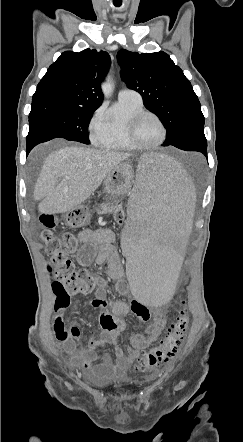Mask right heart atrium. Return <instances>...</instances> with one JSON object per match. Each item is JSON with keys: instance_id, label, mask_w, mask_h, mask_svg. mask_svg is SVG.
<instances>
[{"instance_id": "d8ad5b80", "label": "right heart atrium", "mask_w": 243, "mask_h": 442, "mask_svg": "<svg viewBox=\"0 0 243 442\" xmlns=\"http://www.w3.org/2000/svg\"><path fill=\"white\" fill-rule=\"evenodd\" d=\"M104 112L102 108H97L88 123V130L90 133V137L93 139L95 134L101 129L103 125Z\"/></svg>"}]
</instances>
